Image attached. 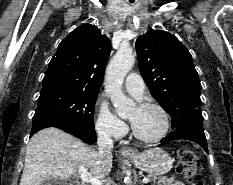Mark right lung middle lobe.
I'll list each match as a JSON object with an SVG mask.
<instances>
[{
  "mask_svg": "<svg viewBox=\"0 0 233 185\" xmlns=\"http://www.w3.org/2000/svg\"><path fill=\"white\" fill-rule=\"evenodd\" d=\"M98 93L65 89L41 91L32 131L38 124L73 125L94 130V108Z\"/></svg>",
  "mask_w": 233,
  "mask_h": 185,
  "instance_id": "1",
  "label": "right lung middle lobe"
}]
</instances>
